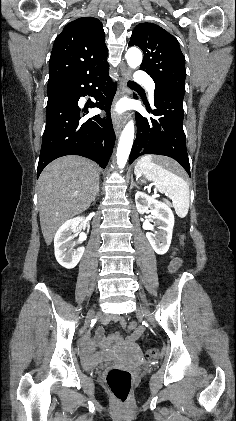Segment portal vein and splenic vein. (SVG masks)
<instances>
[{"label":"portal vein and splenic vein","mask_w":236,"mask_h":421,"mask_svg":"<svg viewBox=\"0 0 236 421\" xmlns=\"http://www.w3.org/2000/svg\"><path fill=\"white\" fill-rule=\"evenodd\" d=\"M73 196H78V194H73Z\"/></svg>","instance_id":"18ae733b"}]
</instances>
